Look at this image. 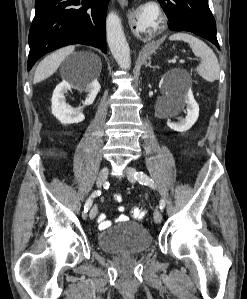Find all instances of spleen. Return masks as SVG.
Listing matches in <instances>:
<instances>
[{
  "label": "spleen",
  "instance_id": "spleen-1",
  "mask_svg": "<svg viewBox=\"0 0 247 299\" xmlns=\"http://www.w3.org/2000/svg\"><path fill=\"white\" fill-rule=\"evenodd\" d=\"M170 40H181L189 43L192 52L201 58V63L195 69L206 81L214 82L219 78L220 66L213 50L199 38L188 33H176L170 36Z\"/></svg>",
  "mask_w": 247,
  "mask_h": 299
}]
</instances>
